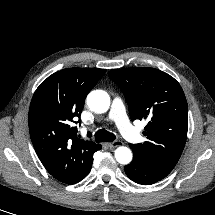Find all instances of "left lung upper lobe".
Instances as JSON below:
<instances>
[{
    "label": "left lung upper lobe",
    "instance_id": "1",
    "mask_svg": "<svg viewBox=\"0 0 215 215\" xmlns=\"http://www.w3.org/2000/svg\"><path fill=\"white\" fill-rule=\"evenodd\" d=\"M109 77L123 92L131 120L147 119V141L130 147L148 163L172 171L185 146L188 108L180 84L154 68L113 69Z\"/></svg>",
    "mask_w": 215,
    "mask_h": 215
}]
</instances>
